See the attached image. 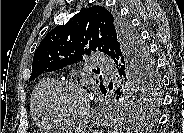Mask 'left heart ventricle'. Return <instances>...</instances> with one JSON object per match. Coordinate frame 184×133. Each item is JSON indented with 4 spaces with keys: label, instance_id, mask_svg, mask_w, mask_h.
<instances>
[{
    "label": "left heart ventricle",
    "instance_id": "left-heart-ventricle-1",
    "mask_svg": "<svg viewBox=\"0 0 184 133\" xmlns=\"http://www.w3.org/2000/svg\"><path fill=\"white\" fill-rule=\"evenodd\" d=\"M52 107L59 117L75 119L84 113L86 98L78 89L62 88L55 93L52 99Z\"/></svg>",
    "mask_w": 184,
    "mask_h": 133
}]
</instances>
